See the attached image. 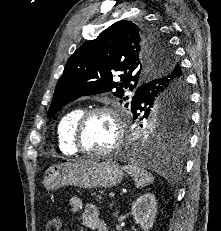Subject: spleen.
I'll list each match as a JSON object with an SVG mask.
<instances>
[{
	"label": "spleen",
	"instance_id": "3e777b00",
	"mask_svg": "<svg viewBox=\"0 0 221 231\" xmlns=\"http://www.w3.org/2000/svg\"><path fill=\"white\" fill-rule=\"evenodd\" d=\"M122 169L134 179L137 188L148 186L154 181V177L151 173L145 171L136 164L124 165Z\"/></svg>",
	"mask_w": 221,
	"mask_h": 231
}]
</instances>
